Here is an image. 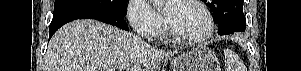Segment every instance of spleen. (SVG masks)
I'll use <instances>...</instances> for the list:
<instances>
[{
	"instance_id": "3e777b00",
	"label": "spleen",
	"mask_w": 301,
	"mask_h": 71,
	"mask_svg": "<svg viewBox=\"0 0 301 71\" xmlns=\"http://www.w3.org/2000/svg\"><path fill=\"white\" fill-rule=\"evenodd\" d=\"M225 71H246L240 57L229 49L224 50Z\"/></svg>"
}]
</instances>
